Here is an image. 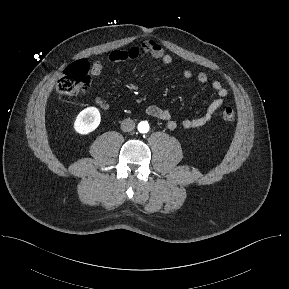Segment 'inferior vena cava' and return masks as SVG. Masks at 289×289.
I'll use <instances>...</instances> for the list:
<instances>
[{
  "instance_id": "obj_1",
  "label": "inferior vena cava",
  "mask_w": 289,
  "mask_h": 289,
  "mask_svg": "<svg viewBox=\"0 0 289 289\" xmlns=\"http://www.w3.org/2000/svg\"><path fill=\"white\" fill-rule=\"evenodd\" d=\"M135 128V122L132 119H124L121 123V130L124 132H131Z\"/></svg>"
}]
</instances>
